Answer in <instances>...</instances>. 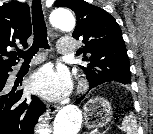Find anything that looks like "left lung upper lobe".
Wrapping results in <instances>:
<instances>
[{
    "mask_svg": "<svg viewBox=\"0 0 153 134\" xmlns=\"http://www.w3.org/2000/svg\"><path fill=\"white\" fill-rule=\"evenodd\" d=\"M55 6L67 7L76 14L73 37H83V60L80 68L90 86L115 81L131 83L129 59L119 25L105 10L84 0H56Z\"/></svg>",
    "mask_w": 153,
    "mask_h": 134,
    "instance_id": "obj_1",
    "label": "left lung upper lobe"
}]
</instances>
